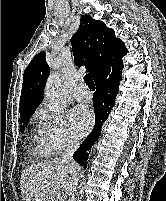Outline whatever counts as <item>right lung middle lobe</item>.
<instances>
[{
  "mask_svg": "<svg viewBox=\"0 0 166 201\" xmlns=\"http://www.w3.org/2000/svg\"><path fill=\"white\" fill-rule=\"evenodd\" d=\"M31 115H28V116H25V117H22L21 118V131L23 132L24 131V126L28 123L29 119H30Z\"/></svg>",
  "mask_w": 166,
  "mask_h": 201,
  "instance_id": "1",
  "label": "right lung middle lobe"
}]
</instances>
